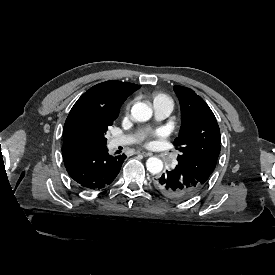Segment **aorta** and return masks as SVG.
Instances as JSON below:
<instances>
[{"label": "aorta", "mask_w": 275, "mask_h": 275, "mask_svg": "<svg viewBox=\"0 0 275 275\" xmlns=\"http://www.w3.org/2000/svg\"><path fill=\"white\" fill-rule=\"evenodd\" d=\"M130 113L137 122H145L151 118L152 109L143 102H136L131 107ZM146 167L151 174H158L163 170V162L156 157H151L147 160Z\"/></svg>", "instance_id": "obj_1"}]
</instances>
